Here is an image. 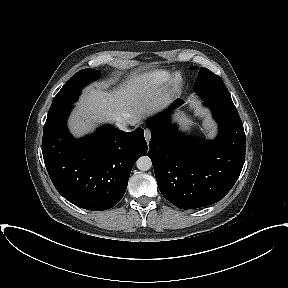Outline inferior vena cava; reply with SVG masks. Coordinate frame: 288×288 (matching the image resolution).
I'll use <instances>...</instances> for the list:
<instances>
[{
  "label": "inferior vena cava",
  "instance_id": "1",
  "mask_svg": "<svg viewBox=\"0 0 288 288\" xmlns=\"http://www.w3.org/2000/svg\"><path fill=\"white\" fill-rule=\"evenodd\" d=\"M116 126H117L120 130L128 131V128L126 127V124H125V123L117 122V123H116Z\"/></svg>",
  "mask_w": 288,
  "mask_h": 288
}]
</instances>
